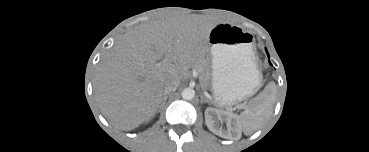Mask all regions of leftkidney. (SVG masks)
Instances as JSON below:
<instances>
[{
    "instance_id": "1",
    "label": "left kidney",
    "mask_w": 369,
    "mask_h": 152,
    "mask_svg": "<svg viewBox=\"0 0 369 152\" xmlns=\"http://www.w3.org/2000/svg\"><path fill=\"white\" fill-rule=\"evenodd\" d=\"M215 115L218 120L227 122V130L217 126L214 121ZM205 122L208 129L214 134L226 138V139H237L240 136L241 128L235 115L228 112L220 111L215 108L208 107L205 110Z\"/></svg>"
}]
</instances>
